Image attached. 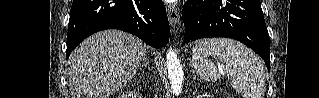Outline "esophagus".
<instances>
[{
    "label": "esophagus",
    "instance_id": "esophagus-1",
    "mask_svg": "<svg viewBox=\"0 0 319 98\" xmlns=\"http://www.w3.org/2000/svg\"><path fill=\"white\" fill-rule=\"evenodd\" d=\"M167 15L170 25L173 27L176 26L180 20V14L175 5L167 6Z\"/></svg>",
    "mask_w": 319,
    "mask_h": 98
}]
</instances>
